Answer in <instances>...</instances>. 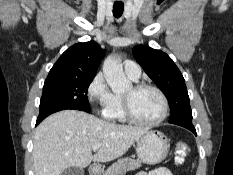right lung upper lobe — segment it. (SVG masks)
Returning <instances> with one entry per match:
<instances>
[{
    "mask_svg": "<svg viewBox=\"0 0 233 175\" xmlns=\"http://www.w3.org/2000/svg\"><path fill=\"white\" fill-rule=\"evenodd\" d=\"M103 56L104 50L96 42L77 43L60 56L47 79L94 77Z\"/></svg>",
    "mask_w": 233,
    "mask_h": 175,
    "instance_id": "1",
    "label": "right lung upper lobe"
}]
</instances>
